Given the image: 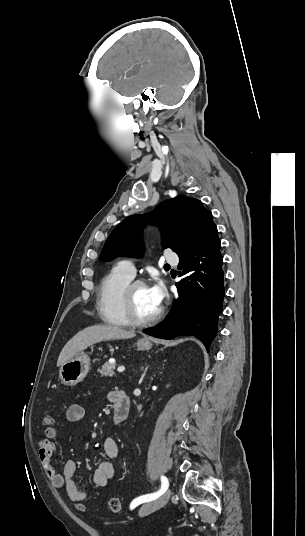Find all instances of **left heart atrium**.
<instances>
[{
	"label": "left heart atrium",
	"mask_w": 305,
	"mask_h": 536,
	"mask_svg": "<svg viewBox=\"0 0 305 536\" xmlns=\"http://www.w3.org/2000/svg\"><path fill=\"white\" fill-rule=\"evenodd\" d=\"M149 294L151 303L155 307H159L163 299L162 286L159 283H154L153 285L149 286Z\"/></svg>",
	"instance_id": "39dd6f15"
}]
</instances>
